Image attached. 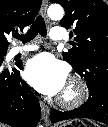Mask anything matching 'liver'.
Instances as JSON below:
<instances>
[{
	"mask_svg": "<svg viewBox=\"0 0 108 127\" xmlns=\"http://www.w3.org/2000/svg\"><path fill=\"white\" fill-rule=\"evenodd\" d=\"M1 127H6L4 124H1Z\"/></svg>",
	"mask_w": 108,
	"mask_h": 127,
	"instance_id": "1",
	"label": "liver"
}]
</instances>
